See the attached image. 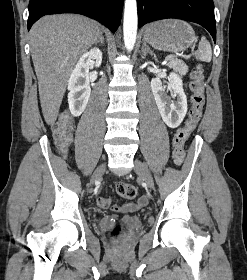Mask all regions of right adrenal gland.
Returning a JSON list of instances; mask_svg holds the SVG:
<instances>
[{"mask_svg":"<svg viewBox=\"0 0 247 280\" xmlns=\"http://www.w3.org/2000/svg\"><path fill=\"white\" fill-rule=\"evenodd\" d=\"M99 42L103 45V43H104L103 33H101L99 39L97 40V42H96L95 44H97V43H99Z\"/></svg>","mask_w":247,"mask_h":280,"instance_id":"1","label":"right adrenal gland"}]
</instances>
